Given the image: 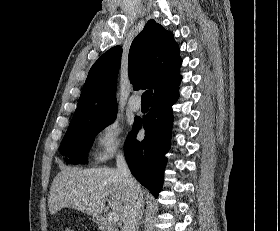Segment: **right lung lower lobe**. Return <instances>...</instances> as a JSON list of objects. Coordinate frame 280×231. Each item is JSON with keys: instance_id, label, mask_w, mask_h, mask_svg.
<instances>
[{"instance_id": "98d812e1", "label": "right lung lower lobe", "mask_w": 280, "mask_h": 231, "mask_svg": "<svg viewBox=\"0 0 280 231\" xmlns=\"http://www.w3.org/2000/svg\"><path fill=\"white\" fill-rule=\"evenodd\" d=\"M179 97L178 87L171 92L153 98L149 113L143 117L145 138L136 139L142 124H134L125 146V157L134 177L155 197L162 188L173 122L172 105Z\"/></svg>"}]
</instances>
